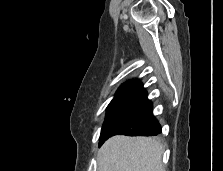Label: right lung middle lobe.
<instances>
[{"mask_svg":"<svg viewBox=\"0 0 223 171\" xmlns=\"http://www.w3.org/2000/svg\"><path fill=\"white\" fill-rule=\"evenodd\" d=\"M135 98H114L107 107L106 118L101 130L100 139L107 129L121 117L136 101Z\"/></svg>","mask_w":223,"mask_h":171,"instance_id":"right-lung-middle-lobe-1","label":"right lung middle lobe"}]
</instances>
